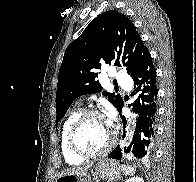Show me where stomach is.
<instances>
[{
  "label": "stomach",
  "mask_w": 196,
  "mask_h": 182,
  "mask_svg": "<svg viewBox=\"0 0 196 182\" xmlns=\"http://www.w3.org/2000/svg\"><path fill=\"white\" fill-rule=\"evenodd\" d=\"M95 171L107 182H113L121 177L119 165L110 160H101L97 163ZM55 182H91V178L87 173L65 174L58 177Z\"/></svg>",
  "instance_id": "stomach-1"
}]
</instances>
